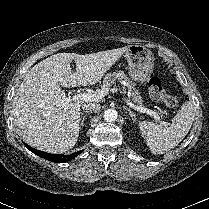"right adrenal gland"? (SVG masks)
<instances>
[{
    "mask_svg": "<svg viewBox=\"0 0 209 209\" xmlns=\"http://www.w3.org/2000/svg\"><path fill=\"white\" fill-rule=\"evenodd\" d=\"M89 114V112L88 111H84V112H82L81 113V115H84V116H82L81 118H80V128H81V126H83L84 125V121H85V119H86V115H88Z\"/></svg>",
    "mask_w": 209,
    "mask_h": 209,
    "instance_id": "2a0ac1e0",
    "label": "right adrenal gland"
}]
</instances>
